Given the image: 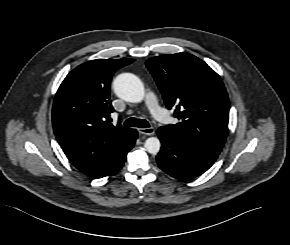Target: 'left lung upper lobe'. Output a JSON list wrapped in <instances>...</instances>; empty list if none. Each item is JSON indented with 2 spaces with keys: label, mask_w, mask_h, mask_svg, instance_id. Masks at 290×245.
<instances>
[{
  "label": "left lung upper lobe",
  "mask_w": 290,
  "mask_h": 245,
  "mask_svg": "<svg viewBox=\"0 0 290 245\" xmlns=\"http://www.w3.org/2000/svg\"><path fill=\"white\" fill-rule=\"evenodd\" d=\"M146 66L166 107L174 108L180 120L162 127L185 142L219 154L227 137L230 108L219 75L185 52L150 58Z\"/></svg>",
  "instance_id": "obj_1"
}]
</instances>
